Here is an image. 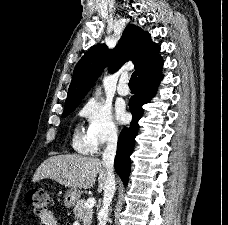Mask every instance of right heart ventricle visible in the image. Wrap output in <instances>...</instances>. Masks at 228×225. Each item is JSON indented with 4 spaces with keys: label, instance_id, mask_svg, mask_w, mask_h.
I'll return each mask as SVG.
<instances>
[{
    "label": "right heart ventricle",
    "instance_id": "right-heart-ventricle-1",
    "mask_svg": "<svg viewBox=\"0 0 228 225\" xmlns=\"http://www.w3.org/2000/svg\"><path fill=\"white\" fill-rule=\"evenodd\" d=\"M71 144L80 153L89 154L96 151L92 142L77 129L73 132Z\"/></svg>",
    "mask_w": 228,
    "mask_h": 225
}]
</instances>
